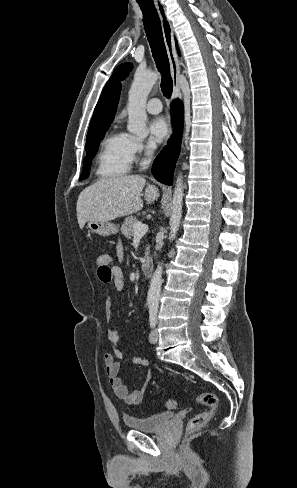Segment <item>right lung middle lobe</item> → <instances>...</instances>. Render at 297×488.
<instances>
[{"mask_svg":"<svg viewBox=\"0 0 297 488\" xmlns=\"http://www.w3.org/2000/svg\"><path fill=\"white\" fill-rule=\"evenodd\" d=\"M109 125L110 123L101 125L87 135L85 145L86 157L83 161V172L81 173L80 180H83L89 176L90 162L88 160L95 156L99 142L101 139H103Z\"/></svg>","mask_w":297,"mask_h":488,"instance_id":"right-lung-middle-lobe-1","label":"right lung middle lobe"}]
</instances>
